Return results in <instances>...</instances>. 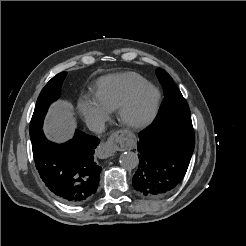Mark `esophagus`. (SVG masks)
I'll use <instances>...</instances> for the list:
<instances>
[{"mask_svg":"<svg viewBox=\"0 0 246 246\" xmlns=\"http://www.w3.org/2000/svg\"><path fill=\"white\" fill-rule=\"evenodd\" d=\"M114 142L110 139L106 142H101L97 148V155L101 159H105L114 155Z\"/></svg>","mask_w":246,"mask_h":246,"instance_id":"34e87169","label":"esophagus"}]
</instances>
